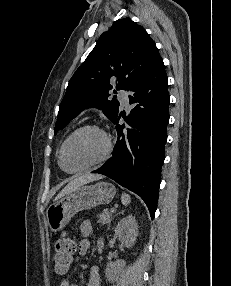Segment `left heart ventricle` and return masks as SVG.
<instances>
[{"instance_id": "1", "label": "left heart ventricle", "mask_w": 231, "mask_h": 286, "mask_svg": "<svg viewBox=\"0 0 231 286\" xmlns=\"http://www.w3.org/2000/svg\"><path fill=\"white\" fill-rule=\"evenodd\" d=\"M106 148L103 136L93 130L76 134L66 145L63 166L67 170H76L100 158Z\"/></svg>"}]
</instances>
